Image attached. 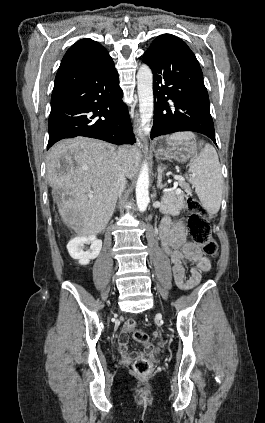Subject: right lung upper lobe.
Here are the masks:
<instances>
[{
	"instance_id": "1",
	"label": "right lung upper lobe",
	"mask_w": 265,
	"mask_h": 423,
	"mask_svg": "<svg viewBox=\"0 0 265 423\" xmlns=\"http://www.w3.org/2000/svg\"><path fill=\"white\" fill-rule=\"evenodd\" d=\"M88 61L98 63L112 61L106 49L91 39H81L72 45L62 59L61 67Z\"/></svg>"
}]
</instances>
